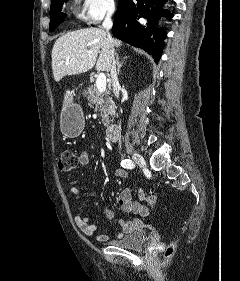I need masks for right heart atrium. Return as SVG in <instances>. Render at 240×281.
Returning <instances> with one entry per match:
<instances>
[{
    "label": "right heart atrium",
    "instance_id": "1",
    "mask_svg": "<svg viewBox=\"0 0 240 281\" xmlns=\"http://www.w3.org/2000/svg\"><path fill=\"white\" fill-rule=\"evenodd\" d=\"M115 12L114 0H83L81 15L90 23H98Z\"/></svg>",
    "mask_w": 240,
    "mask_h": 281
}]
</instances>
